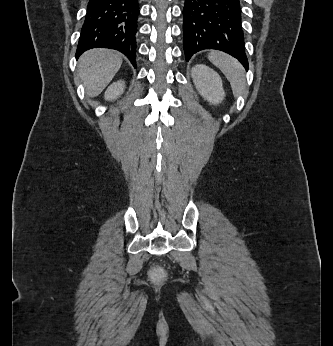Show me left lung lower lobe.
Returning <instances> with one entry per match:
<instances>
[{"instance_id":"1","label":"left lung lower lobe","mask_w":333,"mask_h":346,"mask_svg":"<svg viewBox=\"0 0 333 346\" xmlns=\"http://www.w3.org/2000/svg\"><path fill=\"white\" fill-rule=\"evenodd\" d=\"M183 17L186 61L200 50L216 49L248 69L239 0H185Z\"/></svg>"}]
</instances>
